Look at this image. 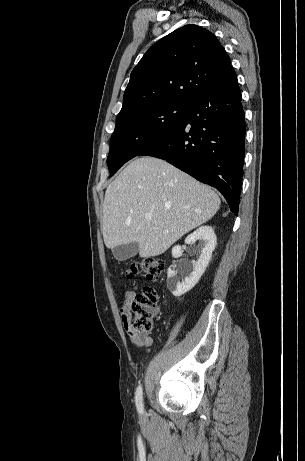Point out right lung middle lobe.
Returning a JSON list of instances; mask_svg holds the SVG:
<instances>
[{"label":"right lung middle lobe","mask_w":305,"mask_h":461,"mask_svg":"<svg viewBox=\"0 0 305 461\" xmlns=\"http://www.w3.org/2000/svg\"><path fill=\"white\" fill-rule=\"evenodd\" d=\"M188 109V103L168 102L117 120L107 158L110 176L124 163L173 132L183 121Z\"/></svg>","instance_id":"1"}]
</instances>
